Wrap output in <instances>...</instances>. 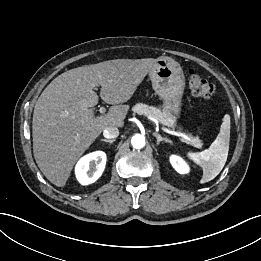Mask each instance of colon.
Instances as JSON below:
<instances>
[{
  "mask_svg": "<svg viewBox=\"0 0 261 261\" xmlns=\"http://www.w3.org/2000/svg\"><path fill=\"white\" fill-rule=\"evenodd\" d=\"M189 87L192 94L203 99H211L216 95V89L194 70H190Z\"/></svg>",
  "mask_w": 261,
  "mask_h": 261,
  "instance_id": "colon-1",
  "label": "colon"
}]
</instances>
